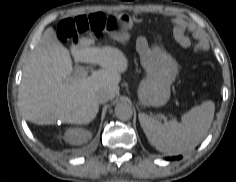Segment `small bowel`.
Wrapping results in <instances>:
<instances>
[{
    "instance_id": "1",
    "label": "small bowel",
    "mask_w": 236,
    "mask_h": 182,
    "mask_svg": "<svg viewBox=\"0 0 236 182\" xmlns=\"http://www.w3.org/2000/svg\"><path fill=\"white\" fill-rule=\"evenodd\" d=\"M172 21L175 24V37H176V40L181 45H186L187 44V38L184 35V31H185V27H186L185 23L177 17L173 18Z\"/></svg>"
}]
</instances>
